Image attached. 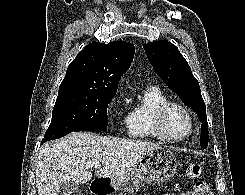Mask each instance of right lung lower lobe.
<instances>
[{
	"instance_id": "1",
	"label": "right lung lower lobe",
	"mask_w": 245,
	"mask_h": 195,
	"mask_svg": "<svg viewBox=\"0 0 245 195\" xmlns=\"http://www.w3.org/2000/svg\"><path fill=\"white\" fill-rule=\"evenodd\" d=\"M107 128L103 126H91V127H85L82 129H79L77 131H92V132H97V131H106Z\"/></svg>"
}]
</instances>
